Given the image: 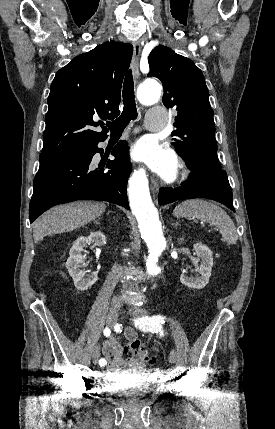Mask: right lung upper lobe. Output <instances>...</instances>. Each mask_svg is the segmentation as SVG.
Segmentation results:
<instances>
[{"label": "right lung upper lobe", "instance_id": "right-lung-upper-lobe-1", "mask_svg": "<svg viewBox=\"0 0 275 429\" xmlns=\"http://www.w3.org/2000/svg\"><path fill=\"white\" fill-rule=\"evenodd\" d=\"M133 53L127 43L106 42L72 59L50 87L41 159H50L107 138L95 119L119 115L121 85Z\"/></svg>", "mask_w": 275, "mask_h": 429}]
</instances>
